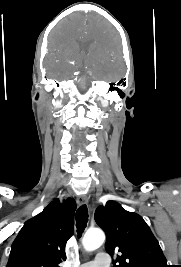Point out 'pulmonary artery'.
<instances>
[{"label":"pulmonary artery","instance_id":"pulmonary-artery-1","mask_svg":"<svg viewBox=\"0 0 181 267\" xmlns=\"http://www.w3.org/2000/svg\"><path fill=\"white\" fill-rule=\"evenodd\" d=\"M80 267H109V259L100 253L94 261L82 264Z\"/></svg>","mask_w":181,"mask_h":267}]
</instances>
